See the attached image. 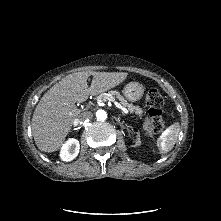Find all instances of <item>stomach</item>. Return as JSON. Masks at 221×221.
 Here are the masks:
<instances>
[{
	"label": "stomach",
	"instance_id": "1",
	"mask_svg": "<svg viewBox=\"0 0 221 221\" xmlns=\"http://www.w3.org/2000/svg\"><path fill=\"white\" fill-rule=\"evenodd\" d=\"M124 96L131 102L138 101L144 94V87L138 82H130L124 87Z\"/></svg>",
	"mask_w": 221,
	"mask_h": 221
}]
</instances>
